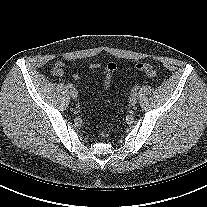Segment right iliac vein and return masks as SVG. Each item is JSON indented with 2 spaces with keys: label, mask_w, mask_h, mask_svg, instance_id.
Wrapping results in <instances>:
<instances>
[{
  "label": "right iliac vein",
  "mask_w": 207,
  "mask_h": 207,
  "mask_svg": "<svg viewBox=\"0 0 207 207\" xmlns=\"http://www.w3.org/2000/svg\"><path fill=\"white\" fill-rule=\"evenodd\" d=\"M70 95H71V97H72L73 99H76L77 96H78V92H77V90H76V89H71V90H70Z\"/></svg>",
  "instance_id": "1"
}]
</instances>
